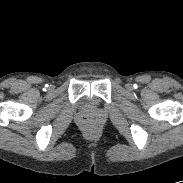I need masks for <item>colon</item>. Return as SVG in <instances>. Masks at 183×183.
<instances>
[{"label":"colon","mask_w":183,"mask_h":183,"mask_svg":"<svg viewBox=\"0 0 183 183\" xmlns=\"http://www.w3.org/2000/svg\"><path fill=\"white\" fill-rule=\"evenodd\" d=\"M87 120H88L90 123H92V121H93L91 118H88Z\"/></svg>","instance_id":"5ec220e1"}]
</instances>
